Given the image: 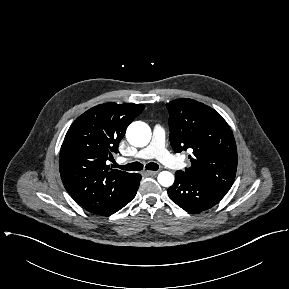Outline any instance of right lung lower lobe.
<instances>
[{"label": "right lung lower lobe", "mask_w": 289, "mask_h": 289, "mask_svg": "<svg viewBox=\"0 0 289 289\" xmlns=\"http://www.w3.org/2000/svg\"><path fill=\"white\" fill-rule=\"evenodd\" d=\"M141 178L142 177L140 174L134 173L133 184L131 186V189L126 193L125 196L119 198L113 205H111L108 209H106L105 211H103V213L99 215L103 216L112 215L113 213L123 208L126 204H128L135 197L136 192L139 188Z\"/></svg>", "instance_id": "98d812e1"}]
</instances>
